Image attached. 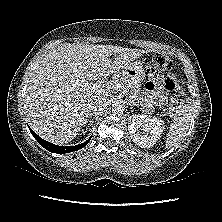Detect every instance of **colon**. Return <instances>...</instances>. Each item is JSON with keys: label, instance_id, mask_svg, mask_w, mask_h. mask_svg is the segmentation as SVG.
<instances>
[{"label": "colon", "instance_id": "obj_1", "mask_svg": "<svg viewBox=\"0 0 222 222\" xmlns=\"http://www.w3.org/2000/svg\"><path fill=\"white\" fill-rule=\"evenodd\" d=\"M172 68L173 63L168 56L162 53H155L153 55L150 66L151 72H168L172 70ZM164 89L171 94L168 102V110L170 114H174L177 109V86L175 81L169 78L166 79L164 82Z\"/></svg>", "mask_w": 222, "mask_h": 222}]
</instances>
